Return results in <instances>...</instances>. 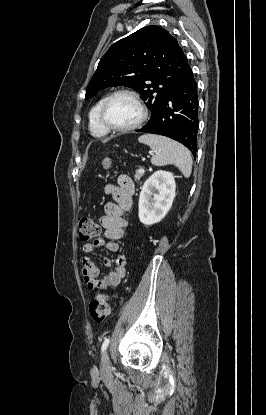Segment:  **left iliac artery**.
<instances>
[{"label":"left iliac artery","instance_id":"1","mask_svg":"<svg viewBox=\"0 0 266 415\" xmlns=\"http://www.w3.org/2000/svg\"><path fill=\"white\" fill-rule=\"evenodd\" d=\"M110 339L107 338L104 340L102 347H101V353H104L109 345Z\"/></svg>","mask_w":266,"mask_h":415}]
</instances>
